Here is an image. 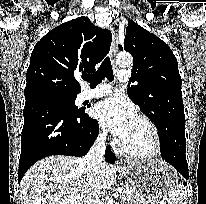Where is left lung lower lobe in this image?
I'll use <instances>...</instances> for the list:
<instances>
[{
  "instance_id": "left-lung-lower-lobe-1",
  "label": "left lung lower lobe",
  "mask_w": 206,
  "mask_h": 204,
  "mask_svg": "<svg viewBox=\"0 0 206 204\" xmlns=\"http://www.w3.org/2000/svg\"><path fill=\"white\" fill-rule=\"evenodd\" d=\"M160 138L162 159L174 166L184 178H189L186 160L185 119H176Z\"/></svg>"
}]
</instances>
